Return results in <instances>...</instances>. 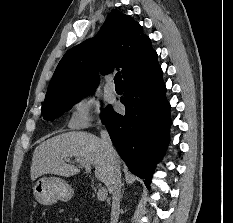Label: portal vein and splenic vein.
Returning a JSON list of instances; mask_svg holds the SVG:
<instances>
[{
	"label": "portal vein and splenic vein",
	"mask_w": 233,
	"mask_h": 223,
	"mask_svg": "<svg viewBox=\"0 0 233 223\" xmlns=\"http://www.w3.org/2000/svg\"><path fill=\"white\" fill-rule=\"evenodd\" d=\"M77 163H79V165H82V167H86V169H91V163H87V161H83V159H77ZM107 195V189H102V187L98 189L97 197L99 201H105V199H107Z\"/></svg>",
	"instance_id": "1"
}]
</instances>
